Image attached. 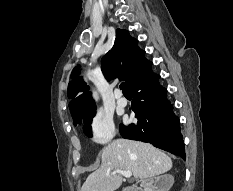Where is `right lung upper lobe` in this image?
Here are the masks:
<instances>
[{
	"instance_id": "cb5924a9",
	"label": "right lung upper lobe",
	"mask_w": 233,
	"mask_h": 191,
	"mask_svg": "<svg viewBox=\"0 0 233 191\" xmlns=\"http://www.w3.org/2000/svg\"><path fill=\"white\" fill-rule=\"evenodd\" d=\"M144 54L145 51L138 47V41L127 30L117 29L113 48L101 60L102 72L108 80L119 77L128 85L146 61ZM77 74L78 70L74 68L72 82L68 85V98L72 99L69 103L72 116L95 109L88 86L82 77H76Z\"/></svg>"
}]
</instances>
